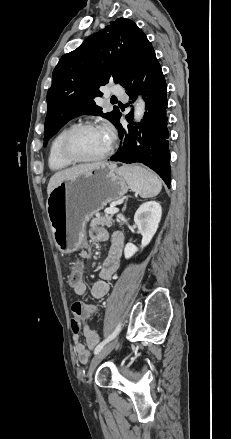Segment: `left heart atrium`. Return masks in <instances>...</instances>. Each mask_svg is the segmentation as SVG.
I'll return each mask as SVG.
<instances>
[{
	"instance_id": "1",
	"label": "left heart atrium",
	"mask_w": 231,
	"mask_h": 439,
	"mask_svg": "<svg viewBox=\"0 0 231 439\" xmlns=\"http://www.w3.org/2000/svg\"><path fill=\"white\" fill-rule=\"evenodd\" d=\"M103 130L105 131V133L107 134L109 139H111L113 137V130H112L111 126L105 125L103 127Z\"/></svg>"
}]
</instances>
